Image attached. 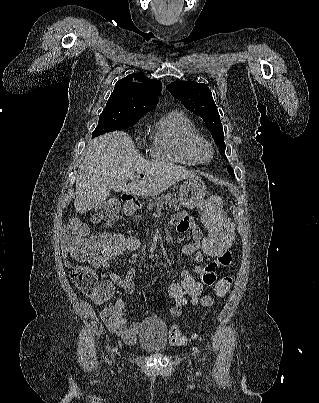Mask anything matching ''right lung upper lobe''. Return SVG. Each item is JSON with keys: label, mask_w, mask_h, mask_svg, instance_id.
<instances>
[{"label": "right lung upper lobe", "mask_w": 319, "mask_h": 403, "mask_svg": "<svg viewBox=\"0 0 319 403\" xmlns=\"http://www.w3.org/2000/svg\"><path fill=\"white\" fill-rule=\"evenodd\" d=\"M162 83L151 80L144 74L134 73L119 80L106 106H120L146 114L158 103Z\"/></svg>", "instance_id": "1"}]
</instances>
